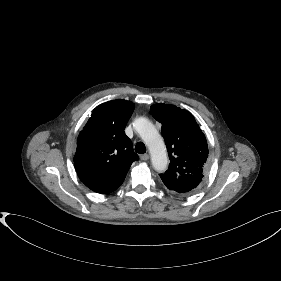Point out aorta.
I'll return each mask as SVG.
<instances>
[{"mask_svg":"<svg viewBox=\"0 0 281 281\" xmlns=\"http://www.w3.org/2000/svg\"><path fill=\"white\" fill-rule=\"evenodd\" d=\"M134 128L149 148L154 169L165 171L168 166L166 146L155 126L148 119L140 117L135 120Z\"/></svg>","mask_w":281,"mask_h":281,"instance_id":"obj_1","label":"aorta"}]
</instances>
